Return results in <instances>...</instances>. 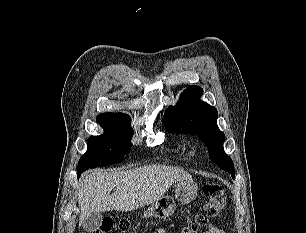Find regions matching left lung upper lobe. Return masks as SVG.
Masks as SVG:
<instances>
[{"label":"left lung upper lobe","instance_id":"left-lung-upper-lobe-1","mask_svg":"<svg viewBox=\"0 0 306 233\" xmlns=\"http://www.w3.org/2000/svg\"><path fill=\"white\" fill-rule=\"evenodd\" d=\"M202 94V88L198 86L186 88L180 101L166 110L165 126L174 133L196 134L207 145L211 159L234 178L233 162L223 148L225 135L217 125L218 112L200 100Z\"/></svg>","mask_w":306,"mask_h":233}]
</instances>
